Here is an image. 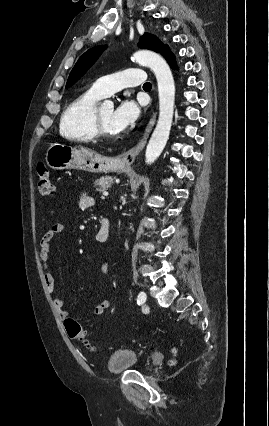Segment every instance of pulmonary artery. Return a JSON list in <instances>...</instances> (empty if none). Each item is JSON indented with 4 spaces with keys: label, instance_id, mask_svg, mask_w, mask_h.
<instances>
[{
    "label": "pulmonary artery",
    "instance_id": "pulmonary-artery-1",
    "mask_svg": "<svg viewBox=\"0 0 269 426\" xmlns=\"http://www.w3.org/2000/svg\"><path fill=\"white\" fill-rule=\"evenodd\" d=\"M146 80V73L140 68H129L99 78L91 87L101 97H106L124 87L136 86Z\"/></svg>",
    "mask_w": 269,
    "mask_h": 426
}]
</instances>
